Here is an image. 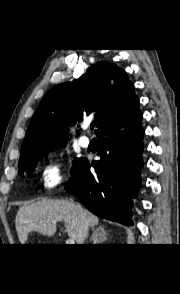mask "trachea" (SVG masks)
Masks as SVG:
<instances>
[{"mask_svg": "<svg viewBox=\"0 0 180 294\" xmlns=\"http://www.w3.org/2000/svg\"><path fill=\"white\" fill-rule=\"evenodd\" d=\"M95 127V123H91V129L93 130Z\"/></svg>", "mask_w": 180, "mask_h": 294, "instance_id": "1", "label": "trachea"}]
</instances>
